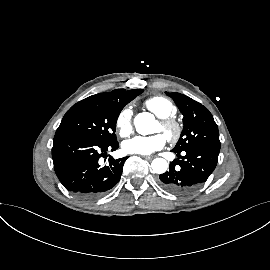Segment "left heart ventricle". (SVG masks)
I'll use <instances>...</instances> for the list:
<instances>
[{
    "label": "left heart ventricle",
    "mask_w": 270,
    "mask_h": 270,
    "mask_svg": "<svg viewBox=\"0 0 270 270\" xmlns=\"http://www.w3.org/2000/svg\"><path fill=\"white\" fill-rule=\"evenodd\" d=\"M155 131H156V132H162V128H161V126H160L159 123L156 125ZM162 133H163V132H162Z\"/></svg>",
    "instance_id": "b2bd125f"
}]
</instances>
